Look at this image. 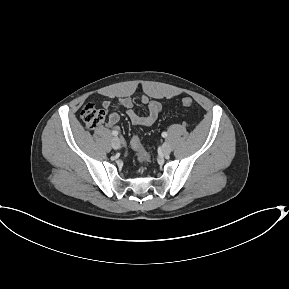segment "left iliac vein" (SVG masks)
Masks as SVG:
<instances>
[{"label": "left iliac vein", "instance_id": "obj_1", "mask_svg": "<svg viewBox=\"0 0 289 289\" xmlns=\"http://www.w3.org/2000/svg\"><path fill=\"white\" fill-rule=\"evenodd\" d=\"M172 148L170 146L169 143L165 142L163 145H162V151L164 154H169L171 152Z\"/></svg>", "mask_w": 289, "mask_h": 289}]
</instances>
